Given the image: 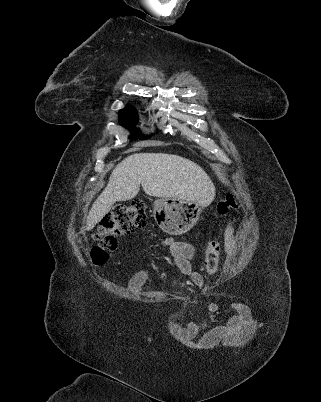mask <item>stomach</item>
Segmentation results:
<instances>
[{"instance_id":"stomach-1","label":"stomach","mask_w":321,"mask_h":402,"mask_svg":"<svg viewBox=\"0 0 321 402\" xmlns=\"http://www.w3.org/2000/svg\"><path fill=\"white\" fill-rule=\"evenodd\" d=\"M203 206L200 202L176 198L154 201L153 216L158 226L169 235H182L198 221Z\"/></svg>"}]
</instances>
